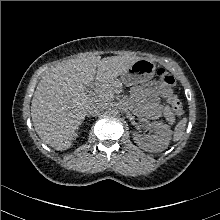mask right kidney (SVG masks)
<instances>
[{"label":"right kidney","instance_id":"right-kidney-1","mask_svg":"<svg viewBox=\"0 0 220 220\" xmlns=\"http://www.w3.org/2000/svg\"><path fill=\"white\" fill-rule=\"evenodd\" d=\"M74 137H77V134H73Z\"/></svg>","mask_w":220,"mask_h":220}]
</instances>
